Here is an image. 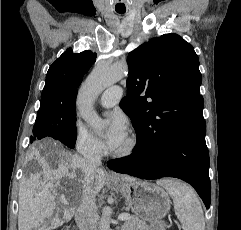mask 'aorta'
<instances>
[{
    "label": "aorta",
    "mask_w": 241,
    "mask_h": 230,
    "mask_svg": "<svg viewBox=\"0 0 241 230\" xmlns=\"http://www.w3.org/2000/svg\"><path fill=\"white\" fill-rule=\"evenodd\" d=\"M128 74V65L117 62L109 66H98L85 80L78 95L80 115L92 129L101 131L105 122L97 115L93 108L94 100L107 87L119 82ZM112 209L105 207L99 221L98 230H112L110 228Z\"/></svg>",
    "instance_id": "762f6f07"
}]
</instances>
